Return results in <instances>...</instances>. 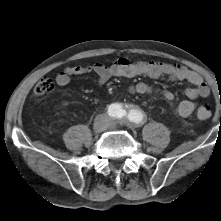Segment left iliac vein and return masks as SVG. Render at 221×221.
Masks as SVG:
<instances>
[{"instance_id": "left-iliac-vein-1", "label": "left iliac vein", "mask_w": 221, "mask_h": 221, "mask_svg": "<svg viewBox=\"0 0 221 221\" xmlns=\"http://www.w3.org/2000/svg\"><path fill=\"white\" fill-rule=\"evenodd\" d=\"M123 122L126 123V124H128V125H131V126L134 125L133 123H130V124H129V122L126 121V120H124ZM115 125H116V123H115L114 121H111L108 126H109V127H114Z\"/></svg>"}]
</instances>
